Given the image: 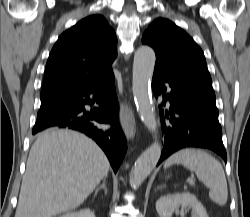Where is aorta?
I'll return each instance as SVG.
<instances>
[{
	"instance_id": "aorta-1",
	"label": "aorta",
	"mask_w": 250,
	"mask_h": 217,
	"mask_svg": "<svg viewBox=\"0 0 250 217\" xmlns=\"http://www.w3.org/2000/svg\"><path fill=\"white\" fill-rule=\"evenodd\" d=\"M156 56L149 46H141L134 55L133 62V96L137 111L145 126L155 135L153 144L140 155L130 174V183L134 188L139 187L156 167L162 147L157 141V122L150 91V81L153 76Z\"/></svg>"
}]
</instances>
